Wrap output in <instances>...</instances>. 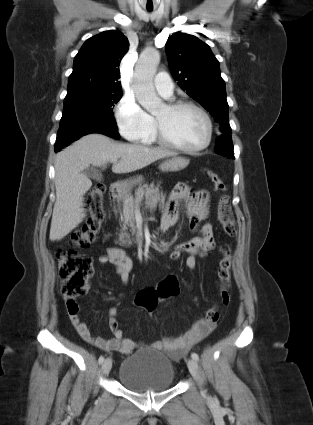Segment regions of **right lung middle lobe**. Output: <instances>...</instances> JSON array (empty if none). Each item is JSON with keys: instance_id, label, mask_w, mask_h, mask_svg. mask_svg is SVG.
<instances>
[{"instance_id": "obj_1", "label": "right lung middle lobe", "mask_w": 313, "mask_h": 425, "mask_svg": "<svg viewBox=\"0 0 313 425\" xmlns=\"http://www.w3.org/2000/svg\"><path fill=\"white\" fill-rule=\"evenodd\" d=\"M122 97V91H80L69 93L64 100V110L79 109L114 116L113 106Z\"/></svg>"}]
</instances>
